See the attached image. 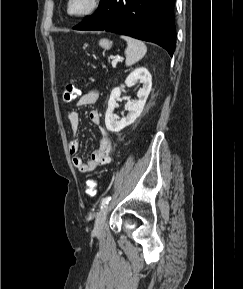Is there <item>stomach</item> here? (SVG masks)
Instances as JSON below:
<instances>
[{
	"mask_svg": "<svg viewBox=\"0 0 243 289\" xmlns=\"http://www.w3.org/2000/svg\"><path fill=\"white\" fill-rule=\"evenodd\" d=\"M99 45L105 49H109L112 46V42L108 39H101Z\"/></svg>",
	"mask_w": 243,
	"mask_h": 289,
	"instance_id": "obj_1",
	"label": "stomach"
}]
</instances>
